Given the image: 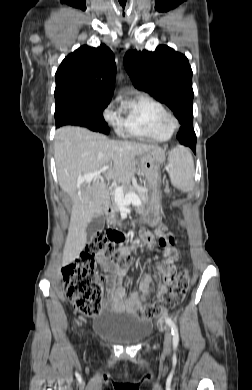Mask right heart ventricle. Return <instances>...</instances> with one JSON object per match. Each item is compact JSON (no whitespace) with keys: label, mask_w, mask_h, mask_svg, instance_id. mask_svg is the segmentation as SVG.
Instances as JSON below:
<instances>
[{"label":"right heart ventricle","mask_w":252,"mask_h":390,"mask_svg":"<svg viewBox=\"0 0 252 390\" xmlns=\"http://www.w3.org/2000/svg\"><path fill=\"white\" fill-rule=\"evenodd\" d=\"M121 110L123 116L116 128L121 136L146 142H163L171 137L172 132L160 120L166 109L157 100L141 95L125 103Z\"/></svg>","instance_id":"1"}]
</instances>
